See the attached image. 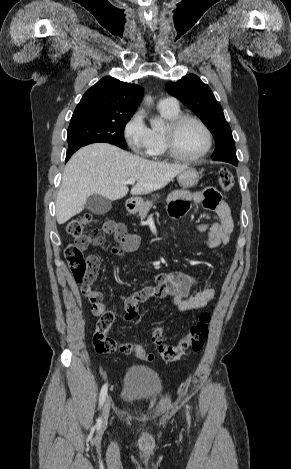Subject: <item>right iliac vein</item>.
<instances>
[{"instance_id": "right-iliac-vein-1", "label": "right iliac vein", "mask_w": 291, "mask_h": 469, "mask_svg": "<svg viewBox=\"0 0 291 469\" xmlns=\"http://www.w3.org/2000/svg\"><path fill=\"white\" fill-rule=\"evenodd\" d=\"M110 399L107 398L102 411V425L105 426L108 422L109 412H110Z\"/></svg>"}]
</instances>
